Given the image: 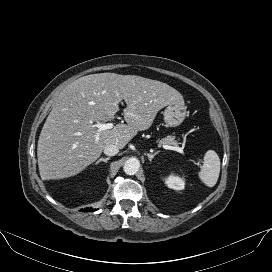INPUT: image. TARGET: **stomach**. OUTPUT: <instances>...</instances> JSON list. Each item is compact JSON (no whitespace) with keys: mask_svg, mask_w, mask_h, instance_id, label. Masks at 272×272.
Here are the masks:
<instances>
[{"mask_svg":"<svg viewBox=\"0 0 272 272\" xmlns=\"http://www.w3.org/2000/svg\"><path fill=\"white\" fill-rule=\"evenodd\" d=\"M164 121L168 127L179 126L186 117V106L181 103H173L164 110Z\"/></svg>","mask_w":272,"mask_h":272,"instance_id":"obj_1","label":"stomach"}]
</instances>
